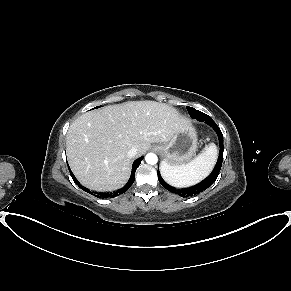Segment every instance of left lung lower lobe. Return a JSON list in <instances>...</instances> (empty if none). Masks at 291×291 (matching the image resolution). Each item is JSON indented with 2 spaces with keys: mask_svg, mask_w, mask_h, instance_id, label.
Segmentation results:
<instances>
[{
  "mask_svg": "<svg viewBox=\"0 0 291 291\" xmlns=\"http://www.w3.org/2000/svg\"><path fill=\"white\" fill-rule=\"evenodd\" d=\"M192 118L197 119L199 121L205 122L208 125H210L211 127L214 128V130L216 131L218 138H219V156H218V161L217 164L214 168V170L212 171V173L206 178L204 179L202 182H200L199 184L192 186L190 188H185V189H176L173 188L171 186H169L168 184H166L164 182V180L162 179L159 171H158V180L161 183V185L168 191L173 192L178 194L181 197H191V196H195L201 192H203L204 190H206L207 188H209L214 181L217 179L221 166H222V162H223V134L220 130V128L217 126V124L213 121V119L208 116L207 114L201 112V111H194L191 115Z\"/></svg>",
  "mask_w": 291,
  "mask_h": 291,
  "instance_id": "obj_1",
  "label": "left lung lower lobe"
}]
</instances>
